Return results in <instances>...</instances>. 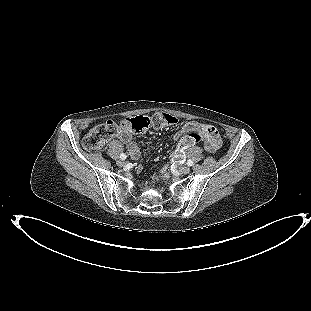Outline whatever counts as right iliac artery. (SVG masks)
Segmentation results:
<instances>
[{
    "label": "right iliac artery",
    "instance_id": "1",
    "mask_svg": "<svg viewBox=\"0 0 311 311\" xmlns=\"http://www.w3.org/2000/svg\"><path fill=\"white\" fill-rule=\"evenodd\" d=\"M120 158H121L122 160H125V159L127 158V156H126V154L122 153V154L120 155Z\"/></svg>",
    "mask_w": 311,
    "mask_h": 311
}]
</instances>
